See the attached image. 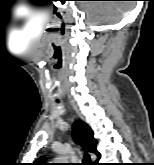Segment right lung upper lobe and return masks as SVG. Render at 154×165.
I'll return each instance as SVG.
<instances>
[{
    "label": "right lung upper lobe",
    "instance_id": "obj_1",
    "mask_svg": "<svg viewBox=\"0 0 154 165\" xmlns=\"http://www.w3.org/2000/svg\"><path fill=\"white\" fill-rule=\"evenodd\" d=\"M93 131L92 129L83 121L79 120L74 123L73 126V137L74 139L85 149L90 151L91 153L98 154L99 152L96 149L97 141L93 137ZM33 165H50L49 163H46V159L41 157L38 160H36Z\"/></svg>",
    "mask_w": 154,
    "mask_h": 165
}]
</instances>
